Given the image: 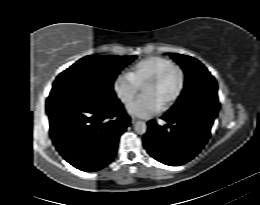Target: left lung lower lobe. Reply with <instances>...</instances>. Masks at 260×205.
Listing matches in <instances>:
<instances>
[{
	"mask_svg": "<svg viewBox=\"0 0 260 205\" xmlns=\"http://www.w3.org/2000/svg\"><path fill=\"white\" fill-rule=\"evenodd\" d=\"M160 126L155 120L148 122L143 144L151 157L169 166L183 165L193 159L204 147L214 119L197 114H169Z\"/></svg>",
	"mask_w": 260,
	"mask_h": 205,
	"instance_id": "left-lung-lower-lobe-1",
	"label": "left lung lower lobe"
}]
</instances>
